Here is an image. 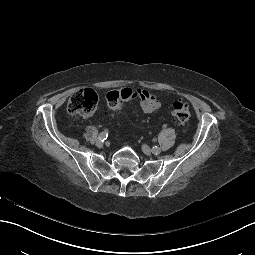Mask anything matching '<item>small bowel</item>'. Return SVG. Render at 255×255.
Segmentation results:
<instances>
[{
    "instance_id": "small-bowel-1",
    "label": "small bowel",
    "mask_w": 255,
    "mask_h": 255,
    "mask_svg": "<svg viewBox=\"0 0 255 255\" xmlns=\"http://www.w3.org/2000/svg\"><path fill=\"white\" fill-rule=\"evenodd\" d=\"M139 103L143 113L152 114L161 110L162 102L156 97L155 94L147 90H138Z\"/></svg>"
}]
</instances>
